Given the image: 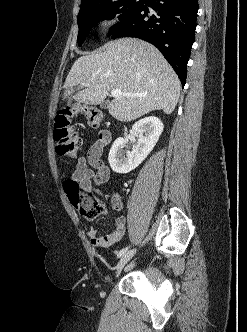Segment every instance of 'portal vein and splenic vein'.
<instances>
[{
  "label": "portal vein and splenic vein",
  "instance_id": "portal-vein-and-splenic-vein-1",
  "mask_svg": "<svg viewBox=\"0 0 247 332\" xmlns=\"http://www.w3.org/2000/svg\"><path fill=\"white\" fill-rule=\"evenodd\" d=\"M84 86L88 87L90 84L89 83H84ZM138 96L139 94H131V93H123L120 89H112L111 90V96L112 97H119V96Z\"/></svg>",
  "mask_w": 247,
  "mask_h": 332
}]
</instances>
